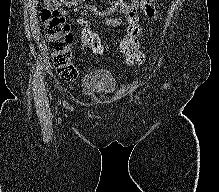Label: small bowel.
<instances>
[{"label":"small bowel","instance_id":"small-bowel-1","mask_svg":"<svg viewBox=\"0 0 219 192\" xmlns=\"http://www.w3.org/2000/svg\"><path fill=\"white\" fill-rule=\"evenodd\" d=\"M81 1L75 0L73 3L76 6L75 13H83L87 9L85 6L79 4ZM44 2L49 4V0H44ZM54 2L55 6H62L61 0H55ZM108 7V12L119 11L121 16L119 18H102L99 19L100 22L108 27L126 28L127 34L137 33L138 37L142 32L139 12H142L149 18H154L157 15L156 0H129L128 2L124 0H112ZM94 20L93 18L85 17H78L76 20L80 25L82 49L89 48L93 50L92 40L101 43L98 34L90 28V24Z\"/></svg>","mask_w":219,"mask_h":192}]
</instances>
